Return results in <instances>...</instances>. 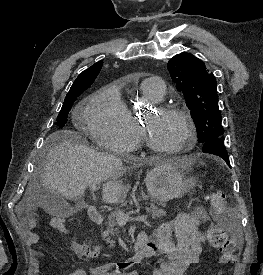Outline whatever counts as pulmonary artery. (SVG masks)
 Here are the masks:
<instances>
[{"instance_id": "1", "label": "pulmonary artery", "mask_w": 263, "mask_h": 275, "mask_svg": "<svg viewBox=\"0 0 263 275\" xmlns=\"http://www.w3.org/2000/svg\"><path fill=\"white\" fill-rule=\"evenodd\" d=\"M143 89L147 90L155 101H159L165 94V84L160 77L152 76L143 81Z\"/></svg>"}]
</instances>
